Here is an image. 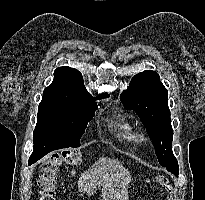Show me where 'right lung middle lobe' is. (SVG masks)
<instances>
[{
  "mask_svg": "<svg viewBox=\"0 0 205 200\" xmlns=\"http://www.w3.org/2000/svg\"><path fill=\"white\" fill-rule=\"evenodd\" d=\"M95 101L75 89L51 84L44 89L34 134L48 133L66 147H79L80 138L97 109Z\"/></svg>",
  "mask_w": 205,
  "mask_h": 200,
  "instance_id": "obj_1",
  "label": "right lung middle lobe"
}]
</instances>
